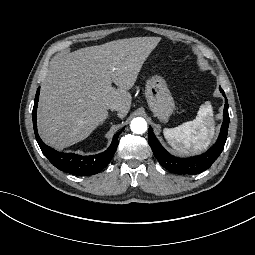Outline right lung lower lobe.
<instances>
[{
	"mask_svg": "<svg viewBox=\"0 0 255 255\" xmlns=\"http://www.w3.org/2000/svg\"><path fill=\"white\" fill-rule=\"evenodd\" d=\"M39 92L38 89L35 96L34 107H33V126L34 132L36 136V140L43 152V154L49 159V161L57 167L59 170L64 172L78 175V176H88L93 175L101 172L106 165L112 159L117 146H118V137L121 131L117 132L112 140L111 145L107 150L97 155L92 156H80L74 153H63L58 152L51 147L47 146L42 142L40 139L38 132H37V125H36V110L37 104L39 100Z\"/></svg>",
	"mask_w": 255,
	"mask_h": 255,
	"instance_id": "obj_1",
	"label": "right lung lower lobe"
}]
</instances>
